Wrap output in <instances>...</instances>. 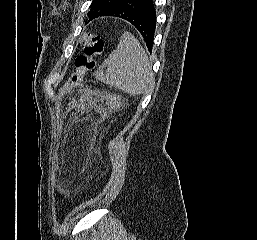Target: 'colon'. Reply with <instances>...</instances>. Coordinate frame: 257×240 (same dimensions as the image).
<instances>
[{"label": "colon", "instance_id": "obj_1", "mask_svg": "<svg viewBox=\"0 0 257 240\" xmlns=\"http://www.w3.org/2000/svg\"><path fill=\"white\" fill-rule=\"evenodd\" d=\"M83 53L75 60V71L71 74L66 84L61 88L59 97H62L73 89L82 85L83 79L87 72L95 69L97 57L105 52V40L93 33H86L81 40Z\"/></svg>", "mask_w": 257, "mask_h": 240}]
</instances>
